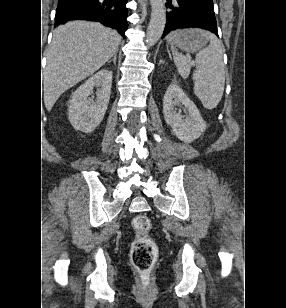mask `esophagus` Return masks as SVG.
I'll return each instance as SVG.
<instances>
[{"label":"esophagus","mask_w":286,"mask_h":308,"mask_svg":"<svg viewBox=\"0 0 286 308\" xmlns=\"http://www.w3.org/2000/svg\"><path fill=\"white\" fill-rule=\"evenodd\" d=\"M141 1H144V3L147 5V0H141Z\"/></svg>","instance_id":"esophagus-1"}]
</instances>
